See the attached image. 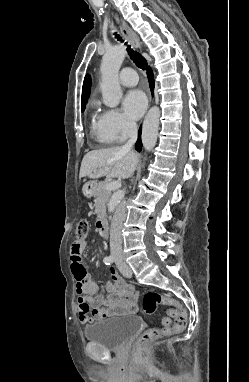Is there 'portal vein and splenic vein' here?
Wrapping results in <instances>:
<instances>
[{"label":"portal vein and splenic vein","instance_id":"portal-vein-and-splenic-vein-1","mask_svg":"<svg viewBox=\"0 0 249 382\" xmlns=\"http://www.w3.org/2000/svg\"><path fill=\"white\" fill-rule=\"evenodd\" d=\"M120 187H121V182L120 181H111V182L107 183V185H106V188L108 190H116V189H118Z\"/></svg>","mask_w":249,"mask_h":382}]
</instances>
